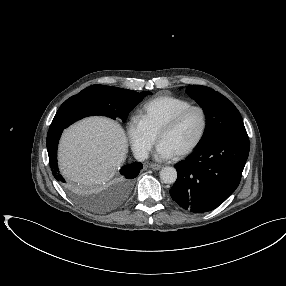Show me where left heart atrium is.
<instances>
[{
	"instance_id": "39dd6f15",
	"label": "left heart atrium",
	"mask_w": 286,
	"mask_h": 286,
	"mask_svg": "<svg viewBox=\"0 0 286 286\" xmlns=\"http://www.w3.org/2000/svg\"><path fill=\"white\" fill-rule=\"evenodd\" d=\"M175 153L169 149L164 143L159 142L156 150V155L159 158L165 159V158H170L174 155Z\"/></svg>"
}]
</instances>
